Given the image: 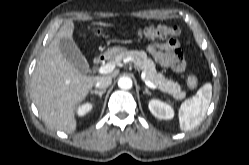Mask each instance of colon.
<instances>
[{"label":"colon","mask_w":249,"mask_h":165,"mask_svg":"<svg viewBox=\"0 0 249 165\" xmlns=\"http://www.w3.org/2000/svg\"><path fill=\"white\" fill-rule=\"evenodd\" d=\"M137 35L144 39L177 37L180 35V29L176 26L157 25L149 26L140 29ZM187 84L189 88L195 89L198 85V81L195 75H189L187 78Z\"/></svg>","instance_id":"colon-1"}]
</instances>
